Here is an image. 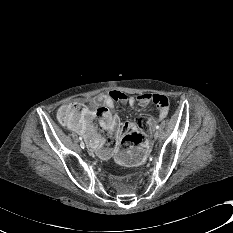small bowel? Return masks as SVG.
Listing matches in <instances>:
<instances>
[{
	"mask_svg": "<svg viewBox=\"0 0 233 233\" xmlns=\"http://www.w3.org/2000/svg\"><path fill=\"white\" fill-rule=\"evenodd\" d=\"M77 103L82 105V111L76 117V121L68 126L71 130L83 136L92 154L102 159H108L114 154L126 125L121 124L118 118L112 115L107 108H112L115 103L143 108L155 104L158 111L157 118L150 116L146 120L148 129L152 130L157 119H163L167 115L169 107L168 98L163 95L141 93L133 96L117 90L100 93L95 97L85 98ZM101 108L107 110L108 113L103 116L102 120H99L100 126L102 131L110 136V139L101 135L94 123L96 111ZM149 157V148L145 145H137L132 149L118 150L115 154V161L120 166H136L147 161Z\"/></svg>",
	"mask_w": 233,
	"mask_h": 233,
	"instance_id": "c3829d8e",
	"label": "small bowel"
}]
</instances>
